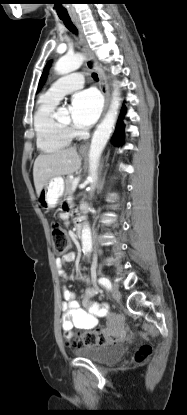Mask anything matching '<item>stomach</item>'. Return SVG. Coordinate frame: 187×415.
Returning <instances> with one entry per match:
<instances>
[{"mask_svg":"<svg viewBox=\"0 0 187 415\" xmlns=\"http://www.w3.org/2000/svg\"><path fill=\"white\" fill-rule=\"evenodd\" d=\"M64 187V179L61 176L49 179L38 195L39 205L45 210L55 208L64 193Z\"/></svg>","mask_w":187,"mask_h":415,"instance_id":"stomach-1","label":"stomach"}]
</instances>
